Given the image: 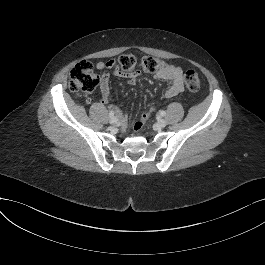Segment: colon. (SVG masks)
<instances>
[{
  "label": "colon",
  "instance_id": "1",
  "mask_svg": "<svg viewBox=\"0 0 265 265\" xmlns=\"http://www.w3.org/2000/svg\"><path fill=\"white\" fill-rule=\"evenodd\" d=\"M119 69L126 74L143 70L148 73H156L165 69V63L152 56H144L138 59L133 54H125L118 59ZM184 82L188 90L196 92L201 87V79L195 70H188L184 74ZM99 84V76L95 73L93 65L88 61H80L71 70L69 88L73 92L90 93ZM154 109L142 115L141 119L135 123L134 130H143L146 121L149 119Z\"/></svg>",
  "mask_w": 265,
  "mask_h": 265
}]
</instances>
